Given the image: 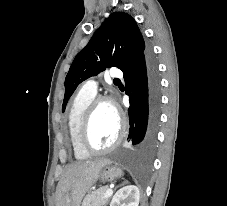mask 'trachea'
Segmentation results:
<instances>
[{"mask_svg": "<svg viewBox=\"0 0 227 206\" xmlns=\"http://www.w3.org/2000/svg\"><path fill=\"white\" fill-rule=\"evenodd\" d=\"M115 81H119V79H115Z\"/></svg>", "mask_w": 227, "mask_h": 206, "instance_id": "trachea-1", "label": "trachea"}]
</instances>
